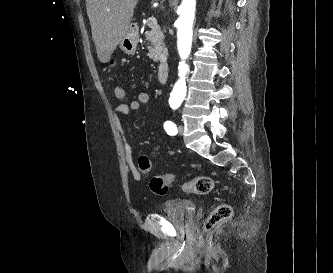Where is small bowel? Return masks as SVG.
<instances>
[{
    "label": "small bowel",
    "mask_w": 333,
    "mask_h": 273,
    "mask_svg": "<svg viewBox=\"0 0 333 273\" xmlns=\"http://www.w3.org/2000/svg\"><path fill=\"white\" fill-rule=\"evenodd\" d=\"M150 101V94L148 92H139L135 100H132L129 104H119L114 110V121L116 127L123 131V123L121 121L122 117L127 116L131 111H138L143 105L148 104ZM124 151L127 160L129 170L135 181L140 182L143 176V173L140 171L138 166V158L135 160L133 148L131 144L124 139Z\"/></svg>",
    "instance_id": "1"
}]
</instances>
